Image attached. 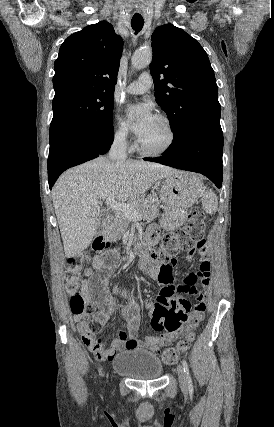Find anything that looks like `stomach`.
I'll use <instances>...</instances> for the list:
<instances>
[{
	"label": "stomach",
	"instance_id": "obj_1",
	"mask_svg": "<svg viewBox=\"0 0 274 427\" xmlns=\"http://www.w3.org/2000/svg\"><path fill=\"white\" fill-rule=\"evenodd\" d=\"M195 180H200L196 174L175 172L162 178L160 198L163 202V214L160 217V225L168 231H173L184 223L185 212L197 198H193L195 192Z\"/></svg>",
	"mask_w": 274,
	"mask_h": 427
}]
</instances>
